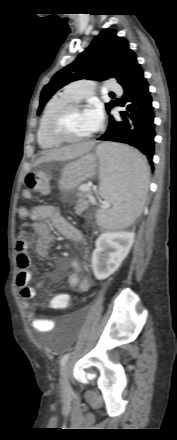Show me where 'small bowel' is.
I'll return each instance as SVG.
<instances>
[{"mask_svg": "<svg viewBox=\"0 0 177 440\" xmlns=\"http://www.w3.org/2000/svg\"><path fill=\"white\" fill-rule=\"evenodd\" d=\"M29 217L31 223L27 226L25 233H33L36 235L35 249L41 256L47 257L49 255V248L54 240L51 228H55L66 239L78 244L84 243L82 232L75 226L70 224L60 213L58 207L54 205H36L29 208ZM28 243L22 235L16 243L17 251V266L19 272L16 278V284L19 289V295L22 299V306L25 309L30 308V300L36 294L35 288L30 286L32 274L29 270L31 260L27 254ZM70 266L75 270H81L80 264L76 260L70 261ZM57 273L50 275L51 279H56ZM68 283L71 288L77 289L81 293H86L91 289L92 281L86 276L80 278L78 274L72 273L68 278ZM45 281L38 282V287H43ZM51 298H69L66 293H58ZM29 323L31 327L40 333H47L54 329L55 322L36 317L33 313L28 314Z\"/></svg>", "mask_w": 177, "mask_h": 440, "instance_id": "c3829d8e", "label": "small bowel"}]
</instances>
